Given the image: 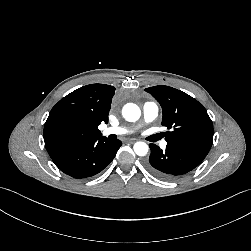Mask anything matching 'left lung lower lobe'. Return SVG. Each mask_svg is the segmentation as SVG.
Here are the masks:
<instances>
[{
    "label": "left lung lower lobe",
    "mask_w": 251,
    "mask_h": 251,
    "mask_svg": "<svg viewBox=\"0 0 251 251\" xmlns=\"http://www.w3.org/2000/svg\"><path fill=\"white\" fill-rule=\"evenodd\" d=\"M151 154L146 162L147 170L155 177L172 181L197 167L206 157V153L177 144L167 143L165 151L150 144Z\"/></svg>",
    "instance_id": "obj_1"
}]
</instances>
